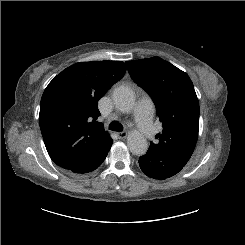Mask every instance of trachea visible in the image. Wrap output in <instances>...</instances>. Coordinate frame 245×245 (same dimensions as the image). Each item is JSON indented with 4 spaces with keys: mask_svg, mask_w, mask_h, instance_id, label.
<instances>
[{
    "mask_svg": "<svg viewBox=\"0 0 245 245\" xmlns=\"http://www.w3.org/2000/svg\"><path fill=\"white\" fill-rule=\"evenodd\" d=\"M109 129L112 130V131H122L123 130V126L119 122L113 121V122L110 123Z\"/></svg>",
    "mask_w": 245,
    "mask_h": 245,
    "instance_id": "obj_1",
    "label": "trachea"
}]
</instances>
